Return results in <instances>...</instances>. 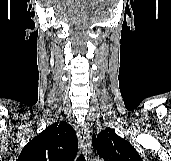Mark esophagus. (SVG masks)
<instances>
[{
    "label": "esophagus",
    "instance_id": "34e87169",
    "mask_svg": "<svg viewBox=\"0 0 171 161\" xmlns=\"http://www.w3.org/2000/svg\"><path fill=\"white\" fill-rule=\"evenodd\" d=\"M77 135L79 140V150L87 159H89L91 153V136L86 124L83 123L80 125Z\"/></svg>",
    "mask_w": 171,
    "mask_h": 161
}]
</instances>
